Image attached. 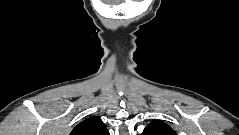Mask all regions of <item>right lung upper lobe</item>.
Segmentation results:
<instances>
[{
    "label": "right lung upper lobe",
    "mask_w": 239,
    "mask_h": 135,
    "mask_svg": "<svg viewBox=\"0 0 239 135\" xmlns=\"http://www.w3.org/2000/svg\"><path fill=\"white\" fill-rule=\"evenodd\" d=\"M70 135H109V132L97 116H91L74 127Z\"/></svg>",
    "instance_id": "obj_1"
}]
</instances>
